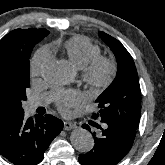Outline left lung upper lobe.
Returning <instances> with one entry per match:
<instances>
[{"instance_id": "1", "label": "left lung upper lobe", "mask_w": 165, "mask_h": 165, "mask_svg": "<svg viewBox=\"0 0 165 165\" xmlns=\"http://www.w3.org/2000/svg\"><path fill=\"white\" fill-rule=\"evenodd\" d=\"M99 36L114 53L118 70L114 81L96 100L100 110L95 117L104 123L136 132L141 111V91L134 61L118 40L104 32H99Z\"/></svg>"}]
</instances>
